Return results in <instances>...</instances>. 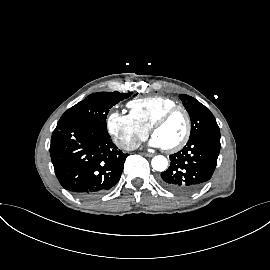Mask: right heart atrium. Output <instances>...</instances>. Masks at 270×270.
Masks as SVG:
<instances>
[{
  "instance_id": "obj_1",
  "label": "right heart atrium",
  "mask_w": 270,
  "mask_h": 270,
  "mask_svg": "<svg viewBox=\"0 0 270 270\" xmlns=\"http://www.w3.org/2000/svg\"><path fill=\"white\" fill-rule=\"evenodd\" d=\"M106 127L117 144L126 150L135 148L149 133V130L139 124L130 113L117 110H113L107 115Z\"/></svg>"
}]
</instances>
